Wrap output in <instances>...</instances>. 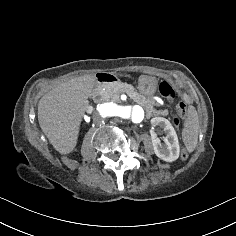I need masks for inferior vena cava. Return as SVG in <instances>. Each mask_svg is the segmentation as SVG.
<instances>
[{"mask_svg":"<svg viewBox=\"0 0 236 236\" xmlns=\"http://www.w3.org/2000/svg\"><path fill=\"white\" fill-rule=\"evenodd\" d=\"M93 123H96V125H101L104 123V118L102 115H98L95 111H93Z\"/></svg>","mask_w":236,"mask_h":236,"instance_id":"inferior-vena-cava-1","label":"inferior vena cava"}]
</instances>
